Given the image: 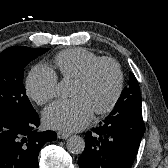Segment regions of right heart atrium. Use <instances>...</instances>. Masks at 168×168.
I'll return each instance as SVG.
<instances>
[{
  "mask_svg": "<svg viewBox=\"0 0 168 168\" xmlns=\"http://www.w3.org/2000/svg\"><path fill=\"white\" fill-rule=\"evenodd\" d=\"M25 89L27 95L37 104L42 105L57 95L58 77L56 72L46 65H36L29 72Z\"/></svg>",
  "mask_w": 168,
  "mask_h": 168,
  "instance_id": "obj_1",
  "label": "right heart atrium"
}]
</instances>
